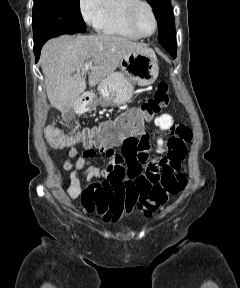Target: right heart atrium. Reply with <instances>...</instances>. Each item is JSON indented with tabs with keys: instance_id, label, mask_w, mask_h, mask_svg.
I'll list each match as a JSON object with an SVG mask.
<instances>
[{
	"instance_id": "d8ad5b80",
	"label": "right heart atrium",
	"mask_w": 240,
	"mask_h": 288,
	"mask_svg": "<svg viewBox=\"0 0 240 288\" xmlns=\"http://www.w3.org/2000/svg\"><path fill=\"white\" fill-rule=\"evenodd\" d=\"M105 0H79V10L84 21L97 26L104 8Z\"/></svg>"
}]
</instances>
